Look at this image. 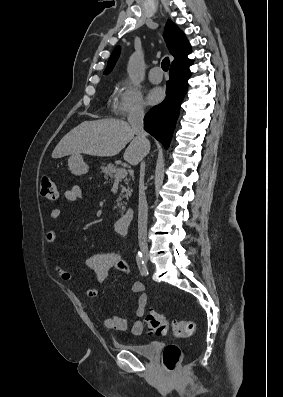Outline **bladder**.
Instances as JSON below:
<instances>
[{
  "label": "bladder",
  "instance_id": "31cf9c89",
  "mask_svg": "<svg viewBox=\"0 0 283 397\" xmlns=\"http://www.w3.org/2000/svg\"><path fill=\"white\" fill-rule=\"evenodd\" d=\"M158 347H159V343L156 341L140 344V345L122 346V348L145 358H152L156 354Z\"/></svg>",
  "mask_w": 283,
  "mask_h": 397
}]
</instances>
